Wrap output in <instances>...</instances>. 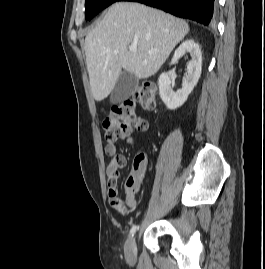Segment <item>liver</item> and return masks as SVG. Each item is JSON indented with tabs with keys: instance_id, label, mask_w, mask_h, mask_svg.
<instances>
[{
	"instance_id": "1",
	"label": "liver",
	"mask_w": 265,
	"mask_h": 269,
	"mask_svg": "<svg viewBox=\"0 0 265 269\" xmlns=\"http://www.w3.org/2000/svg\"><path fill=\"white\" fill-rule=\"evenodd\" d=\"M186 21L139 3L113 4L85 38L91 91L96 101L114 89L122 69L139 79L154 75L188 34ZM136 46L135 53L129 46ZM156 50V53L149 54Z\"/></svg>"
}]
</instances>
